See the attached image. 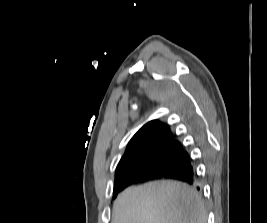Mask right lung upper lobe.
Listing matches in <instances>:
<instances>
[{"instance_id": "right-lung-upper-lobe-1", "label": "right lung upper lobe", "mask_w": 267, "mask_h": 223, "mask_svg": "<svg viewBox=\"0 0 267 223\" xmlns=\"http://www.w3.org/2000/svg\"><path fill=\"white\" fill-rule=\"evenodd\" d=\"M170 148L183 149V146L175 139L169 126L158 120L146 123L130 140L117 166L116 177L125 173L128 164L148 160Z\"/></svg>"}]
</instances>
